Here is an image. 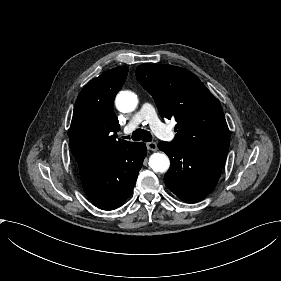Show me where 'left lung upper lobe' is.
<instances>
[{"label": "left lung upper lobe", "mask_w": 281, "mask_h": 281, "mask_svg": "<svg viewBox=\"0 0 281 281\" xmlns=\"http://www.w3.org/2000/svg\"><path fill=\"white\" fill-rule=\"evenodd\" d=\"M136 77L160 115L177 121L174 145L191 152H228L230 134L220 103L197 76L172 65L143 64Z\"/></svg>", "instance_id": "1"}]
</instances>
